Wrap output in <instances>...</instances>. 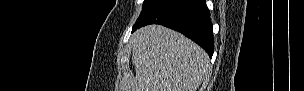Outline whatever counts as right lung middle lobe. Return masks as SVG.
Instances as JSON below:
<instances>
[{
  "label": "right lung middle lobe",
  "instance_id": "obj_1",
  "mask_svg": "<svg viewBox=\"0 0 304 91\" xmlns=\"http://www.w3.org/2000/svg\"><path fill=\"white\" fill-rule=\"evenodd\" d=\"M148 4H150V0H145V1H144V4H143V9H144Z\"/></svg>",
  "mask_w": 304,
  "mask_h": 91
}]
</instances>
